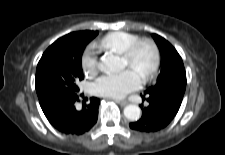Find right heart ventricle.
Here are the masks:
<instances>
[{"label": "right heart ventricle", "instance_id": "1", "mask_svg": "<svg viewBox=\"0 0 225 155\" xmlns=\"http://www.w3.org/2000/svg\"><path fill=\"white\" fill-rule=\"evenodd\" d=\"M139 37L126 31H114L103 36L97 43V47L103 51L124 52Z\"/></svg>", "mask_w": 225, "mask_h": 155}]
</instances>
